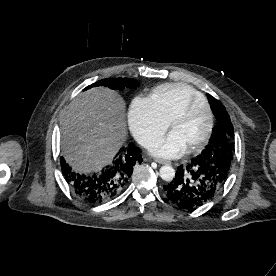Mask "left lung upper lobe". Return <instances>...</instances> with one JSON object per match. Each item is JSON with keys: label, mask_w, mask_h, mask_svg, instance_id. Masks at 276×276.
<instances>
[{"label": "left lung upper lobe", "mask_w": 276, "mask_h": 276, "mask_svg": "<svg viewBox=\"0 0 276 276\" xmlns=\"http://www.w3.org/2000/svg\"><path fill=\"white\" fill-rule=\"evenodd\" d=\"M209 102L217 118L218 125L214 127L209 144L200 155L205 157V160L208 161L210 165L213 166L216 173L219 174L222 180L221 188L227 179L233 159L234 143L232 137L234 136V128L223 104L210 95Z\"/></svg>", "instance_id": "left-lung-upper-lobe-1"}]
</instances>
